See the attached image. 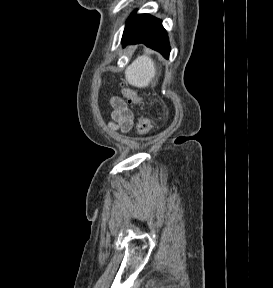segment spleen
<instances>
[{
  "label": "spleen",
  "mask_w": 273,
  "mask_h": 288,
  "mask_svg": "<svg viewBox=\"0 0 273 288\" xmlns=\"http://www.w3.org/2000/svg\"><path fill=\"white\" fill-rule=\"evenodd\" d=\"M156 75L154 61L147 55L137 57L125 70L126 81L138 88L147 87Z\"/></svg>",
  "instance_id": "1"
}]
</instances>
